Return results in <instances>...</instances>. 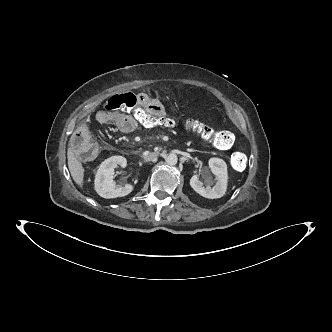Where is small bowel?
I'll list each match as a JSON object with an SVG mask.
<instances>
[{"mask_svg":"<svg viewBox=\"0 0 332 332\" xmlns=\"http://www.w3.org/2000/svg\"><path fill=\"white\" fill-rule=\"evenodd\" d=\"M136 103L140 109L148 114H152L155 117L167 118L169 116V109L160 105L157 102L152 101L147 95L140 94L136 98ZM98 120L103 124H111L112 126H118L122 132H132L139 128L137 120L132 116L119 111H101L98 114Z\"/></svg>","mask_w":332,"mask_h":332,"instance_id":"1","label":"small bowel"}]
</instances>
